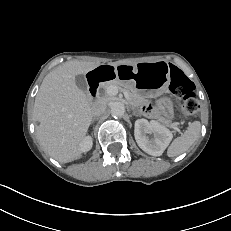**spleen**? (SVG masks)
<instances>
[{
  "label": "spleen",
  "instance_id": "obj_1",
  "mask_svg": "<svg viewBox=\"0 0 231 231\" xmlns=\"http://www.w3.org/2000/svg\"><path fill=\"white\" fill-rule=\"evenodd\" d=\"M201 124L199 121L193 122L181 136L173 140L167 149L169 157H176L187 151L193 143L198 139Z\"/></svg>",
  "mask_w": 231,
  "mask_h": 231
}]
</instances>
